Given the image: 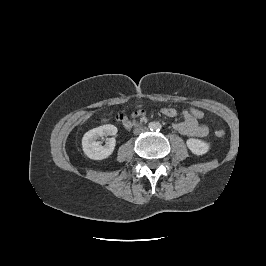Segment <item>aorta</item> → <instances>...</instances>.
Listing matches in <instances>:
<instances>
[{
  "label": "aorta",
  "instance_id": "1",
  "mask_svg": "<svg viewBox=\"0 0 266 266\" xmlns=\"http://www.w3.org/2000/svg\"><path fill=\"white\" fill-rule=\"evenodd\" d=\"M150 128L152 130H159L161 128V124L159 122H153L151 123Z\"/></svg>",
  "mask_w": 266,
  "mask_h": 266
}]
</instances>
